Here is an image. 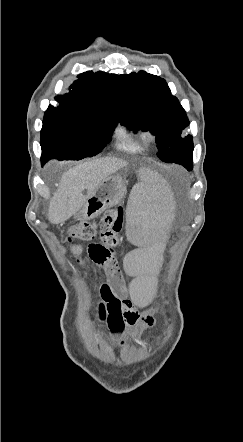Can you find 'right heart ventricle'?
Instances as JSON below:
<instances>
[{
	"instance_id": "1",
	"label": "right heart ventricle",
	"mask_w": 243,
	"mask_h": 442,
	"mask_svg": "<svg viewBox=\"0 0 243 442\" xmlns=\"http://www.w3.org/2000/svg\"><path fill=\"white\" fill-rule=\"evenodd\" d=\"M117 147L128 153L142 152L146 147L145 133L142 130H132L126 126L118 128Z\"/></svg>"
}]
</instances>
